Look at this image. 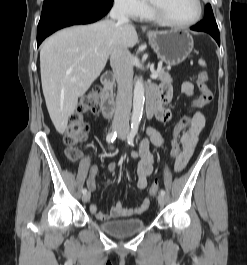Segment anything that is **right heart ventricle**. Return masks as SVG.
<instances>
[{"label":"right heart ventricle","mask_w":247,"mask_h":265,"mask_svg":"<svg viewBox=\"0 0 247 265\" xmlns=\"http://www.w3.org/2000/svg\"><path fill=\"white\" fill-rule=\"evenodd\" d=\"M141 18L146 19V20H152L153 19L148 10L141 16Z\"/></svg>","instance_id":"obj_1"}]
</instances>
